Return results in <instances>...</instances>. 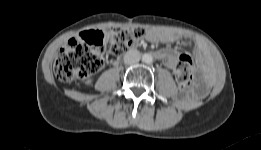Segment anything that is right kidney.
Masks as SVG:
<instances>
[{
  "label": "right kidney",
  "mask_w": 261,
  "mask_h": 150,
  "mask_svg": "<svg viewBox=\"0 0 261 150\" xmlns=\"http://www.w3.org/2000/svg\"><path fill=\"white\" fill-rule=\"evenodd\" d=\"M85 84L87 85L91 84V80L86 81Z\"/></svg>",
  "instance_id": "obj_1"
}]
</instances>
